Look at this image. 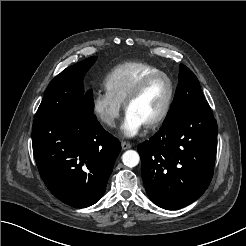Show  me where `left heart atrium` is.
Returning a JSON list of instances; mask_svg holds the SVG:
<instances>
[{
	"label": "left heart atrium",
	"mask_w": 246,
	"mask_h": 246,
	"mask_svg": "<svg viewBox=\"0 0 246 246\" xmlns=\"http://www.w3.org/2000/svg\"><path fill=\"white\" fill-rule=\"evenodd\" d=\"M143 126L144 123L136 115L127 111L121 126V130L124 136L134 137L140 132Z\"/></svg>",
	"instance_id": "1"
}]
</instances>
